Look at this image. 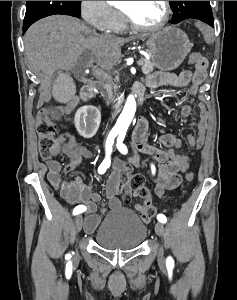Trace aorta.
Here are the masks:
<instances>
[{
	"mask_svg": "<svg viewBox=\"0 0 237 300\" xmlns=\"http://www.w3.org/2000/svg\"><path fill=\"white\" fill-rule=\"evenodd\" d=\"M135 113H136V101L133 95H129L125 103V107L117 121V127H119V129H125V131H127Z\"/></svg>",
	"mask_w": 237,
	"mask_h": 300,
	"instance_id": "1",
	"label": "aorta"
}]
</instances>
